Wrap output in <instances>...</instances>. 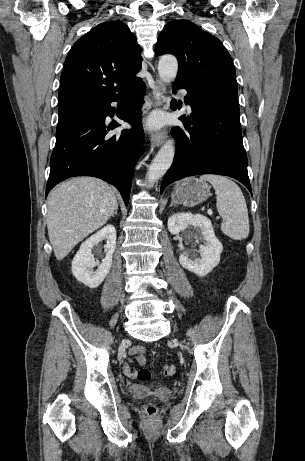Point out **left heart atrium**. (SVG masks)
I'll return each mask as SVG.
<instances>
[{
	"label": "left heart atrium",
	"mask_w": 305,
	"mask_h": 461,
	"mask_svg": "<svg viewBox=\"0 0 305 461\" xmlns=\"http://www.w3.org/2000/svg\"><path fill=\"white\" fill-rule=\"evenodd\" d=\"M159 124H160V120L158 118H153L149 122V125L151 127H157Z\"/></svg>",
	"instance_id": "39dd6f15"
}]
</instances>
